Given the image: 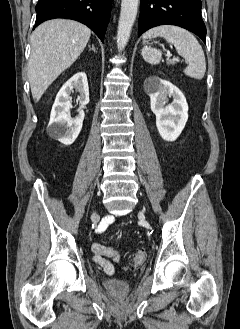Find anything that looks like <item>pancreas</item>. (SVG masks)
<instances>
[{"mask_svg":"<svg viewBox=\"0 0 240 329\" xmlns=\"http://www.w3.org/2000/svg\"><path fill=\"white\" fill-rule=\"evenodd\" d=\"M168 63H169V64H174V61H169Z\"/></svg>","mask_w":240,"mask_h":329,"instance_id":"cf45deb5","label":"pancreas"}]
</instances>
